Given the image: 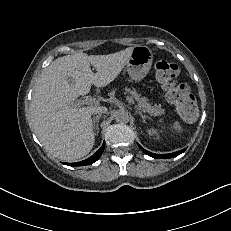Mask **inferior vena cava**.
I'll use <instances>...</instances> for the list:
<instances>
[{
    "label": "inferior vena cava",
    "instance_id": "602c4592",
    "mask_svg": "<svg viewBox=\"0 0 231 231\" xmlns=\"http://www.w3.org/2000/svg\"><path fill=\"white\" fill-rule=\"evenodd\" d=\"M107 112V108L106 107H98L96 109L93 110V114H103Z\"/></svg>",
    "mask_w": 231,
    "mask_h": 231
}]
</instances>
